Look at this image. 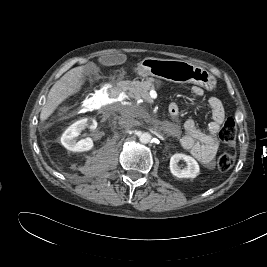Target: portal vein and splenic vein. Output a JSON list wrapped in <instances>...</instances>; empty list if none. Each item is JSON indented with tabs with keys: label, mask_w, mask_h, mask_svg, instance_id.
Masks as SVG:
<instances>
[{
	"label": "portal vein and splenic vein",
	"mask_w": 267,
	"mask_h": 267,
	"mask_svg": "<svg viewBox=\"0 0 267 267\" xmlns=\"http://www.w3.org/2000/svg\"><path fill=\"white\" fill-rule=\"evenodd\" d=\"M151 97H152V98H155V96H153V95H152Z\"/></svg>",
	"instance_id": "18ae733b"
}]
</instances>
